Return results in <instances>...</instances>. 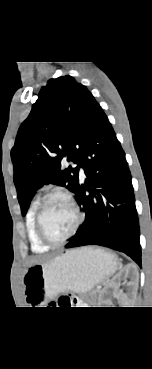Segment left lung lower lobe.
Here are the masks:
<instances>
[{
    "label": "left lung lower lobe",
    "instance_id": "left-lung-lower-lobe-1",
    "mask_svg": "<svg viewBox=\"0 0 152 369\" xmlns=\"http://www.w3.org/2000/svg\"><path fill=\"white\" fill-rule=\"evenodd\" d=\"M85 181L76 201L85 220L65 248L100 245L124 252L141 266L140 231L125 153L99 106L80 154Z\"/></svg>",
    "mask_w": 152,
    "mask_h": 369
}]
</instances>
